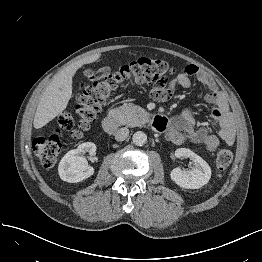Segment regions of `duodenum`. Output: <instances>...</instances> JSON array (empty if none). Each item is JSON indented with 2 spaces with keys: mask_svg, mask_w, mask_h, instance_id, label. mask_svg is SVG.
Here are the masks:
<instances>
[{
  "mask_svg": "<svg viewBox=\"0 0 262 262\" xmlns=\"http://www.w3.org/2000/svg\"><path fill=\"white\" fill-rule=\"evenodd\" d=\"M153 125L155 128H159L160 125L163 123V119L161 117H155L152 120ZM102 126L105 131L108 133H114L117 131L119 127V120L116 115H108L102 120Z\"/></svg>",
  "mask_w": 262,
  "mask_h": 262,
  "instance_id": "obj_1",
  "label": "duodenum"
}]
</instances>
